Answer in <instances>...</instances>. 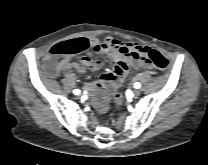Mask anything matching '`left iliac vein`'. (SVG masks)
<instances>
[{
	"label": "left iliac vein",
	"mask_w": 208,
	"mask_h": 165,
	"mask_svg": "<svg viewBox=\"0 0 208 165\" xmlns=\"http://www.w3.org/2000/svg\"><path fill=\"white\" fill-rule=\"evenodd\" d=\"M140 94H141V91L138 89L134 90V92H133L134 97H138Z\"/></svg>",
	"instance_id": "obj_1"
}]
</instances>
